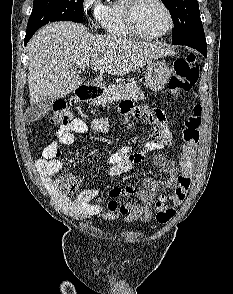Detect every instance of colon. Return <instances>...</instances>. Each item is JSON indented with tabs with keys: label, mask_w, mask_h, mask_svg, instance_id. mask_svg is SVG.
<instances>
[{
	"label": "colon",
	"mask_w": 233,
	"mask_h": 294,
	"mask_svg": "<svg viewBox=\"0 0 233 294\" xmlns=\"http://www.w3.org/2000/svg\"><path fill=\"white\" fill-rule=\"evenodd\" d=\"M198 76L199 70L195 65V56L193 54H187L178 58L173 65V75L169 82L170 91L173 95L190 91L196 84ZM72 121L73 115L67 104L64 102L57 103L49 118L50 124L65 126ZM201 124L202 106L196 102L185 119L181 131L183 146L179 161L180 174L175 192L170 197L171 203L175 206H179L184 202L191 184ZM78 184L79 178L73 175L63 176L57 182L60 193L67 197H70L75 192ZM155 212L156 221L160 224L168 223L176 213L175 208L168 203V199L165 196L160 197L155 203Z\"/></svg>",
	"instance_id": "1"
}]
</instances>
